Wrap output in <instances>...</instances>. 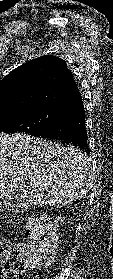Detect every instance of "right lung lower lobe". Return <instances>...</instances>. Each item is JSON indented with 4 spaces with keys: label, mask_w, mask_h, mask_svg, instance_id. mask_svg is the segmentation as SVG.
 Segmentation results:
<instances>
[{
    "label": "right lung lower lobe",
    "mask_w": 113,
    "mask_h": 279,
    "mask_svg": "<svg viewBox=\"0 0 113 279\" xmlns=\"http://www.w3.org/2000/svg\"><path fill=\"white\" fill-rule=\"evenodd\" d=\"M33 136L55 140L80 148L89 154L85 112L82 99L78 106L67 110L65 116L57 123L49 124L31 133Z\"/></svg>",
    "instance_id": "98d812e1"
}]
</instances>
